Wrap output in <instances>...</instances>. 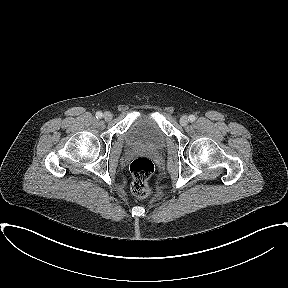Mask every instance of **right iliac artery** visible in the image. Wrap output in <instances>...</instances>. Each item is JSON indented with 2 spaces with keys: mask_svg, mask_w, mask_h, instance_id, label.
<instances>
[{
  "mask_svg": "<svg viewBox=\"0 0 288 288\" xmlns=\"http://www.w3.org/2000/svg\"><path fill=\"white\" fill-rule=\"evenodd\" d=\"M102 116H103L102 112L99 111L96 113V118H101Z\"/></svg>",
  "mask_w": 288,
  "mask_h": 288,
  "instance_id": "obj_1",
  "label": "right iliac artery"
}]
</instances>
